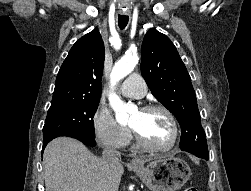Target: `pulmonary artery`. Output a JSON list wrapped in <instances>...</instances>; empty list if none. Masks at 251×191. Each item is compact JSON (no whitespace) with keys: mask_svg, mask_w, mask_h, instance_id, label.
Masks as SVG:
<instances>
[{"mask_svg":"<svg viewBox=\"0 0 251 191\" xmlns=\"http://www.w3.org/2000/svg\"><path fill=\"white\" fill-rule=\"evenodd\" d=\"M121 92L128 97L141 98L147 92V86L143 77L138 73L128 75L120 87Z\"/></svg>","mask_w":251,"mask_h":191,"instance_id":"obj_1","label":"pulmonary artery"}]
</instances>
